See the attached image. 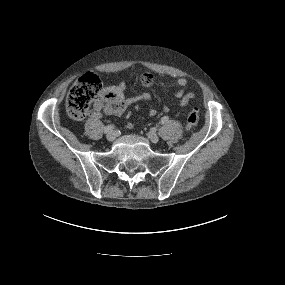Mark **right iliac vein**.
<instances>
[{
  "label": "right iliac vein",
  "mask_w": 285,
  "mask_h": 285,
  "mask_svg": "<svg viewBox=\"0 0 285 285\" xmlns=\"http://www.w3.org/2000/svg\"><path fill=\"white\" fill-rule=\"evenodd\" d=\"M116 136H117L116 133L113 132V131H111V132H109V133L107 134L106 137H107V140H108V141H111V142H112V141H114V140L116 139Z\"/></svg>",
  "instance_id": "1"
}]
</instances>
